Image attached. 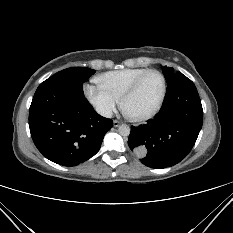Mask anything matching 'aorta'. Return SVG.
<instances>
[{"instance_id":"762f6f07","label":"aorta","mask_w":233,"mask_h":233,"mask_svg":"<svg viewBox=\"0 0 233 233\" xmlns=\"http://www.w3.org/2000/svg\"><path fill=\"white\" fill-rule=\"evenodd\" d=\"M118 132L121 136H128L130 134V127L126 124L120 125Z\"/></svg>"}]
</instances>
